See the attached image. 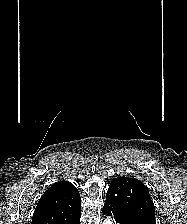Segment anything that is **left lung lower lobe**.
Returning <instances> with one entry per match:
<instances>
[{
  "label": "left lung lower lobe",
  "mask_w": 187,
  "mask_h": 224,
  "mask_svg": "<svg viewBox=\"0 0 187 224\" xmlns=\"http://www.w3.org/2000/svg\"><path fill=\"white\" fill-rule=\"evenodd\" d=\"M103 214L113 216L114 224H138L125 217L114 200L107 196L103 206Z\"/></svg>",
  "instance_id": "0a47b994"
}]
</instances>
